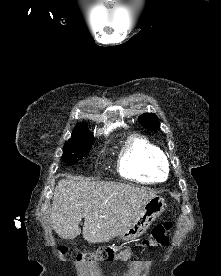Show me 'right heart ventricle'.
I'll list each match as a JSON object with an SVG mask.
<instances>
[{
  "instance_id": "right-heart-ventricle-1",
  "label": "right heart ventricle",
  "mask_w": 221,
  "mask_h": 276,
  "mask_svg": "<svg viewBox=\"0 0 221 276\" xmlns=\"http://www.w3.org/2000/svg\"><path fill=\"white\" fill-rule=\"evenodd\" d=\"M121 176L139 182H160L168 176V161L163 151L142 136L125 142L118 160Z\"/></svg>"
}]
</instances>
